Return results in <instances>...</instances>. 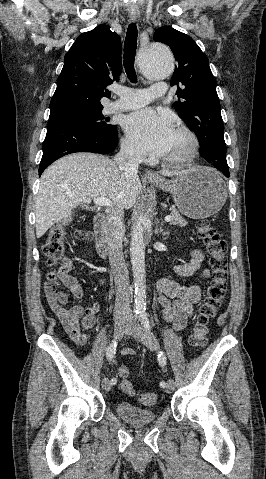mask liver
<instances>
[{"instance_id":"liver-1","label":"liver","mask_w":266,"mask_h":479,"mask_svg":"<svg viewBox=\"0 0 266 479\" xmlns=\"http://www.w3.org/2000/svg\"><path fill=\"white\" fill-rule=\"evenodd\" d=\"M161 174L180 173L164 171ZM141 191L137 174L121 171L108 157L94 153L65 156L41 176L35 203L36 236L42 237L55 223L70 216L71 210L80 203L106 197L112 202L111 208L130 209L140 199Z\"/></svg>"}]
</instances>
